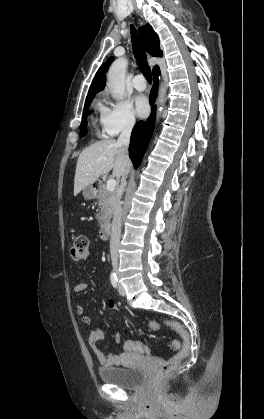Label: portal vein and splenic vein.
I'll use <instances>...</instances> for the list:
<instances>
[{
  "label": "portal vein and splenic vein",
  "instance_id": "18ae733b",
  "mask_svg": "<svg viewBox=\"0 0 264 419\" xmlns=\"http://www.w3.org/2000/svg\"><path fill=\"white\" fill-rule=\"evenodd\" d=\"M116 185H117V182H116V180H115V179H109V180L107 181V185H106V187H107V189H108L109 191L113 192V191L115 190V188H116Z\"/></svg>",
  "mask_w": 264,
  "mask_h": 419
}]
</instances>
